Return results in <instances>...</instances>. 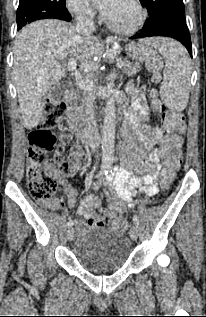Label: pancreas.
Here are the masks:
<instances>
[{"label": "pancreas", "mask_w": 206, "mask_h": 317, "mask_svg": "<svg viewBox=\"0 0 206 317\" xmlns=\"http://www.w3.org/2000/svg\"><path fill=\"white\" fill-rule=\"evenodd\" d=\"M123 65L122 71L128 76L135 75L141 68L140 64L134 61H125Z\"/></svg>", "instance_id": "obj_1"}]
</instances>
